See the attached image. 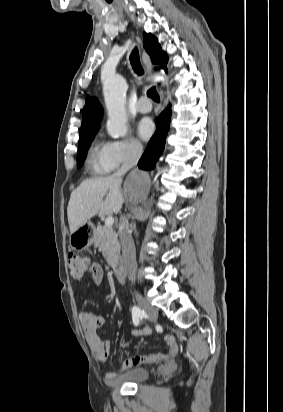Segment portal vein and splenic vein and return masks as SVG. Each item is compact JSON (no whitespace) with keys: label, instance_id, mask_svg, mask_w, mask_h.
<instances>
[{"label":"portal vein and splenic vein","instance_id":"18ae733b","mask_svg":"<svg viewBox=\"0 0 283 412\" xmlns=\"http://www.w3.org/2000/svg\"><path fill=\"white\" fill-rule=\"evenodd\" d=\"M113 224H114V218L113 217H107L105 219V226L112 227Z\"/></svg>","mask_w":283,"mask_h":412}]
</instances>
